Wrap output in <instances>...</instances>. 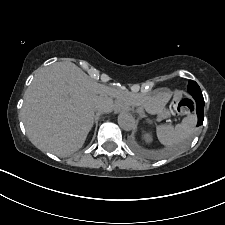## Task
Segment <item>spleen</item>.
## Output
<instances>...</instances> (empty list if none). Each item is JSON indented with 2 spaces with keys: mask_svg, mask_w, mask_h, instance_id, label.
Masks as SVG:
<instances>
[{
  "mask_svg": "<svg viewBox=\"0 0 225 225\" xmlns=\"http://www.w3.org/2000/svg\"><path fill=\"white\" fill-rule=\"evenodd\" d=\"M195 124L196 117L190 115L185 117L182 122L175 127L172 125H159L156 127L158 140L167 147L178 144L193 133Z\"/></svg>",
  "mask_w": 225,
  "mask_h": 225,
  "instance_id": "3e777b00",
  "label": "spleen"
}]
</instances>
